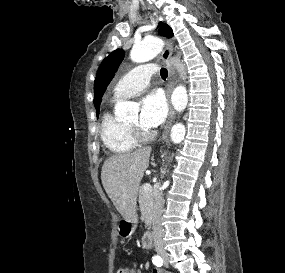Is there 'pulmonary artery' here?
Returning a JSON list of instances; mask_svg holds the SVG:
<instances>
[{
	"instance_id": "obj_1",
	"label": "pulmonary artery",
	"mask_w": 285,
	"mask_h": 273,
	"mask_svg": "<svg viewBox=\"0 0 285 273\" xmlns=\"http://www.w3.org/2000/svg\"><path fill=\"white\" fill-rule=\"evenodd\" d=\"M157 72L152 63L141 64L124 74L114 88V99H123L133 96L144 89L153 74Z\"/></svg>"
}]
</instances>
